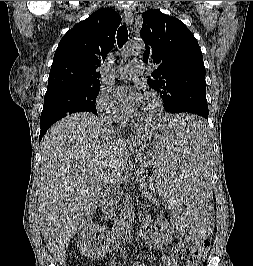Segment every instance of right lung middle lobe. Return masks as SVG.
<instances>
[{"mask_svg":"<svg viewBox=\"0 0 253 266\" xmlns=\"http://www.w3.org/2000/svg\"><path fill=\"white\" fill-rule=\"evenodd\" d=\"M100 84L94 86H72L47 91L40 117V127H50L68 114L92 112L97 115L96 97Z\"/></svg>","mask_w":253,"mask_h":266,"instance_id":"obj_1","label":"right lung middle lobe"}]
</instances>
